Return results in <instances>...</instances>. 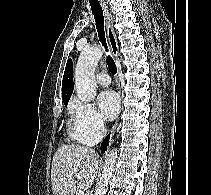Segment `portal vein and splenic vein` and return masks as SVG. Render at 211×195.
Returning <instances> with one entry per match:
<instances>
[{"label":"portal vein and splenic vein","mask_w":211,"mask_h":195,"mask_svg":"<svg viewBox=\"0 0 211 195\" xmlns=\"http://www.w3.org/2000/svg\"><path fill=\"white\" fill-rule=\"evenodd\" d=\"M76 176H77L78 179L80 178L79 174H77ZM78 195H84V192L82 190H79L78 191Z\"/></svg>","instance_id":"1"}]
</instances>
